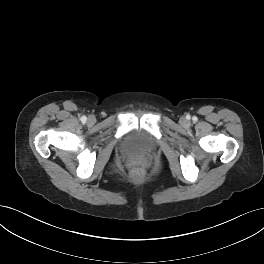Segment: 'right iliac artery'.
I'll list each match as a JSON object with an SVG mask.
<instances>
[{
	"label": "right iliac artery",
	"mask_w": 264,
	"mask_h": 264,
	"mask_svg": "<svg viewBox=\"0 0 264 264\" xmlns=\"http://www.w3.org/2000/svg\"><path fill=\"white\" fill-rule=\"evenodd\" d=\"M86 120H87L86 116H82V117H81V121H82V122H85Z\"/></svg>",
	"instance_id": "82829eb1"
}]
</instances>
